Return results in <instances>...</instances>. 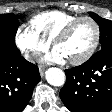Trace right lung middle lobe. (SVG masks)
Masks as SVG:
<instances>
[{"label":"right lung middle lobe","mask_w":112,"mask_h":112,"mask_svg":"<svg viewBox=\"0 0 112 112\" xmlns=\"http://www.w3.org/2000/svg\"><path fill=\"white\" fill-rule=\"evenodd\" d=\"M20 18L15 14H0V52L20 53L15 44Z\"/></svg>","instance_id":"1"}]
</instances>
